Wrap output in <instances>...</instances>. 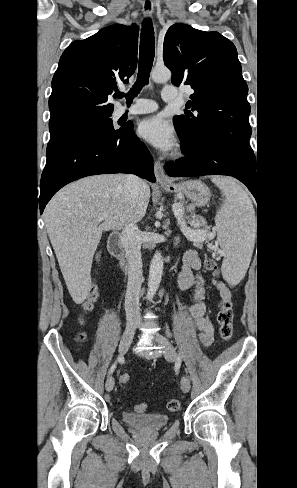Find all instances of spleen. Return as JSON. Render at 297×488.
<instances>
[{"instance_id": "spleen-1", "label": "spleen", "mask_w": 297, "mask_h": 488, "mask_svg": "<svg viewBox=\"0 0 297 488\" xmlns=\"http://www.w3.org/2000/svg\"><path fill=\"white\" fill-rule=\"evenodd\" d=\"M212 181L225 196L215 218L217 239L224 252L221 271L228 283L236 285L244 278L254 249V208L247 192L235 180L215 176Z\"/></svg>"}]
</instances>
